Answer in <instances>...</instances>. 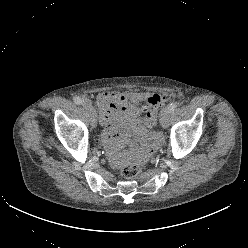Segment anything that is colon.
Wrapping results in <instances>:
<instances>
[{
	"label": "colon",
	"instance_id": "colon-1",
	"mask_svg": "<svg viewBox=\"0 0 248 248\" xmlns=\"http://www.w3.org/2000/svg\"><path fill=\"white\" fill-rule=\"evenodd\" d=\"M168 100L166 96L152 95L147 102L145 114L143 116V123L147 127H153L156 124V111L159 106ZM142 169L138 164H128L123 167L122 175L126 178L132 179L140 175Z\"/></svg>",
	"mask_w": 248,
	"mask_h": 248
}]
</instances>
